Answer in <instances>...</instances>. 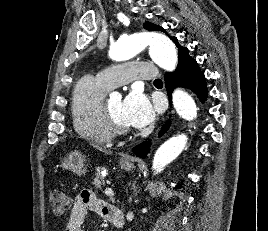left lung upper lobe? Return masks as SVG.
<instances>
[{
    "instance_id": "1",
    "label": "left lung upper lobe",
    "mask_w": 268,
    "mask_h": 231,
    "mask_svg": "<svg viewBox=\"0 0 268 231\" xmlns=\"http://www.w3.org/2000/svg\"><path fill=\"white\" fill-rule=\"evenodd\" d=\"M143 27L147 30H152V31H162V32H165V30L158 26V25H155V24H152L150 22H145L143 24ZM166 33V32H165ZM167 34V33H166ZM168 35V34H167ZM169 36V35H168ZM171 40L175 43V45L177 46L178 48V66L177 68H179L180 66H182L184 64V62L190 58L189 56V50L185 47H182L179 43H178V40L176 37H170Z\"/></svg>"
}]
</instances>
